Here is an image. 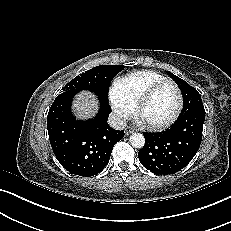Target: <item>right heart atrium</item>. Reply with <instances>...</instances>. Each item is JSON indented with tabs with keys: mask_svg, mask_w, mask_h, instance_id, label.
<instances>
[{
	"mask_svg": "<svg viewBox=\"0 0 231 231\" xmlns=\"http://www.w3.org/2000/svg\"><path fill=\"white\" fill-rule=\"evenodd\" d=\"M110 101L113 106L116 119L119 122L125 121L129 117L130 108L119 99L115 90L110 92Z\"/></svg>",
	"mask_w": 231,
	"mask_h": 231,
	"instance_id": "obj_1",
	"label": "right heart atrium"
}]
</instances>
